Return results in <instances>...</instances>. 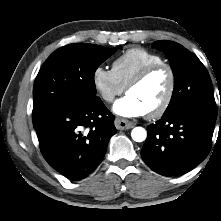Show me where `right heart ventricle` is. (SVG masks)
<instances>
[{"mask_svg":"<svg viewBox=\"0 0 221 221\" xmlns=\"http://www.w3.org/2000/svg\"><path fill=\"white\" fill-rule=\"evenodd\" d=\"M164 62L163 58L145 48L133 47L120 54L112 63V71L126 87L129 81L145 67Z\"/></svg>","mask_w":221,"mask_h":221,"instance_id":"e07e8e85","label":"right heart ventricle"}]
</instances>
